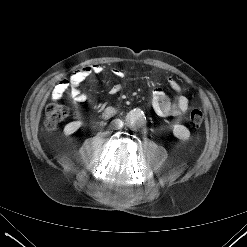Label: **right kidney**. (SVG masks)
I'll use <instances>...</instances> for the list:
<instances>
[{
	"label": "right kidney",
	"mask_w": 247,
	"mask_h": 247,
	"mask_svg": "<svg viewBox=\"0 0 247 247\" xmlns=\"http://www.w3.org/2000/svg\"><path fill=\"white\" fill-rule=\"evenodd\" d=\"M82 123L80 121H73L68 123L65 127H64V134L65 135H71L73 133H75L80 127H81Z\"/></svg>",
	"instance_id": "ca27d5eb"
}]
</instances>
